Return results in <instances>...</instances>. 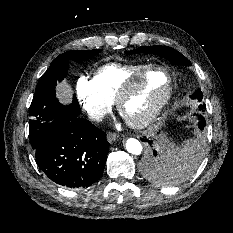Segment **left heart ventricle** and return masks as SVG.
<instances>
[{
  "instance_id": "obj_1",
  "label": "left heart ventricle",
  "mask_w": 233,
  "mask_h": 233,
  "mask_svg": "<svg viewBox=\"0 0 233 233\" xmlns=\"http://www.w3.org/2000/svg\"><path fill=\"white\" fill-rule=\"evenodd\" d=\"M166 83L167 78L162 72L152 74L124 103V117L135 119L147 112L164 91Z\"/></svg>"
}]
</instances>
